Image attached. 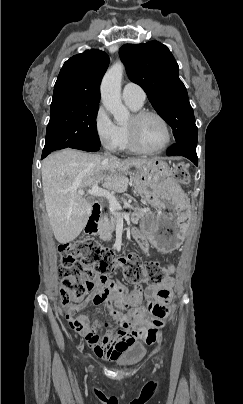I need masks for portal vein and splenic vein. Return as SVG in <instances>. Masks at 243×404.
Returning a JSON list of instances; mask_svg holds the SVG:
<instances>
[{"instance_id": "1", "label": "portal vein and splenic vein", "mask_w": 243, "mask_h": 404, "mask_svg": "<svg viewBox=\"0 0 243 404\" xmlns=\"http://www.w3.org/2000/svg\"><path fill=\"white\" fill-rule=\"evenodd\" d=\"M78 194L84 196L85 192L83 190H78ZM87 194L90 196H97V198H106L110 204V212H113L115 217L124 218L125 216H130L131 212L126 209H122L119 202H117L114 194H110L108 190H103V188H99L98 184H94L90 190H88Z\"/></svg>"}]
</instances>
